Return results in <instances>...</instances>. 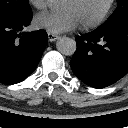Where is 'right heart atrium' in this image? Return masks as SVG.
<instances>
[{"instance_id": "1", "label": "right heart atrium", "mask_w": 128, "mask_h": 128, "mask_svg": "<svg viewBox=\"0 0 128 128\" xmlns=\"http://www.w3.org/2000/svg\"><path fill=\"white\" fill-rule=\"evenodd\" d=\"M28 2L37 10H44L48 4V0H28Z\"/></svg>"}]
</instances>
